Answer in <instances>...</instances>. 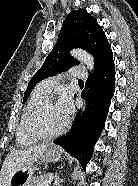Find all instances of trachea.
Returning a JSON list of instances; mask_svg holds the SVG:
<instances>
[{"label": "trachea", "instance_id": "3493384b", "mask_svg": "<svg viewBox=\"0 0 138 186\" xmlns=\"http://www.w3.org/2000/svg\"><path fill=\"white\" fill-rule=\"evenodd\" d=\"M78 82H79V83H83V81H82V80H78Z\"/></svg>", "mask_w": 138, "mask_h": 186}]
</instances>
